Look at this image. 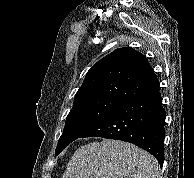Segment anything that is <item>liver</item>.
Wrapping results in <instances>:
<instances>
[{
  "mask_svg": "<svg viewBox=\"0 0 194 178\" xmlns=\"http://www.w3.org/2000/svg\"><path fill=\"white\" fill-rule=\"evenodd\" d=\"M156 159L143 149L105 139L81 146L68 162L63 178H159Z\"/></svg>",
  "mask_w": 194,
  "mask_h": 178,
  "instance_id": "1",
  "label": "liver"
}]
</instances>
